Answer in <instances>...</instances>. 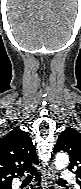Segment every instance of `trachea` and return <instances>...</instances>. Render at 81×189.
Listing matches in <instances>:
<instances>
[{
    "label": "trachea",
    "mask_w": 81,
    "mask_h": 189,
    "mask_svg": "<svg viewBox=\"0 0 81 189\" xmlns=\"http://www.w3.org/2000/svg\"><path fill=\"white\" fill-rule=\"evenodd\" d=\"M28 177H32V176H31V175H28ZM58 181H59V182H66V181H64V180L61 179V178H59Z\"/></svg>",
    "instance_id": "trachea-1"
}]
</instances>
